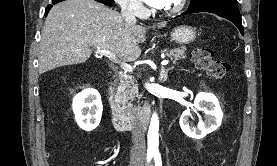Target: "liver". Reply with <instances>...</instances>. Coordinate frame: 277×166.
Listing matches in <instances>:
<instances>
[{"label": "liver", "instance_id": "obj_1", "mask_svg": "<svg viewBox=\"0 0 277 166\" xmlns=\"http://www.w3.org/2000/svg\"><path fill=\"white\" fill-rule=\"evenodd\" d=\"M166 22L157 25L162 28ZM147 28L128 23L117 11L95 0H66L46 17L39 44V73L86 62L91 48L110 51L116 60L134 61Z\"/></svg>", "mask_w": 277, "mask_h": 166}]
</instances>
